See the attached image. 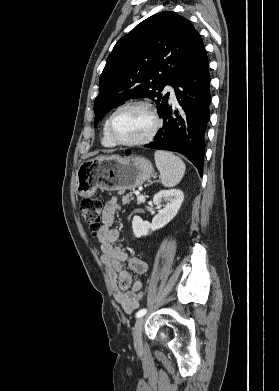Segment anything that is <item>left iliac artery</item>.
I'll return each instance as SVG.
<instances>
[{
    "mask_svg": "<svg viewBox=\"0 0 279 391\" xmlns=\"http://www.w3.org/2000/svg\"><path fill=\"white\" fill-rule=\"evenodd\" d=\"M147 310L146 309H141L139 310L137 313H136V317L139 318V317H142L146 314Z\"/></svg>",
    "mask_w": 279,
    "mask_h": 391,
    "instance_id": "44dca946",
    "label": "left iliac artery"
}]
</instances>
